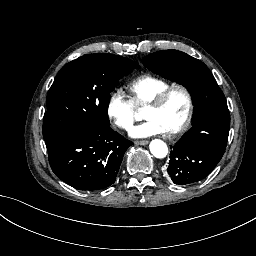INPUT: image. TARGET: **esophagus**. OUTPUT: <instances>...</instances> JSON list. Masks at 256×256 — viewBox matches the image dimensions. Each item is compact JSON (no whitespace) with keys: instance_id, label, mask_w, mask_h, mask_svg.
<instances>
[{"instance_id":"esophagus-1","label":"esophagus","mask_w":256,"mask_h":256,"mask_svg":"<svg viewBox=\"0 0 256 256\" xmlns=\"http://www.w3.org/2000/svg\"><path fill=\"white\" fill-rule=\"evenodd\" d=\"M149 143L148 140H139V141H135L136 145H147Z\"/></svg>"}]
</instances>
